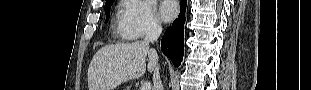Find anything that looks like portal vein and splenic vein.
Wrapping results in <instances>:
<instances>
[{"instance_id":"1","label":"portal vein and splenic vein","mask_w":311,"mask_h":90,"mask_svg":"<svg viewBox=\"0 0 311 90\" xmlns=\"http://www.w3.org/2000/svg\"><path fill=\"white\" fill-rule=\"evenodd\" d=\"M140 90H151V83H150V82H145V83L141 86Z\"/></svg>"}]
</instances>
